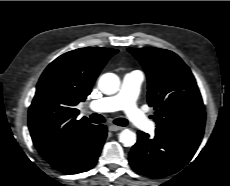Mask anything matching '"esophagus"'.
<instances>
[{
  "label": "esophagus",
  "instance_id": "esophagus-1",
  "mask_svg": "<svg viewBox=\"0 0 230 186\" xmlns=\"http://www.w3.org/2000/svg\"><path fill=\"white\" fill-rule=\"evenodd\" d=\"M108 128H109L110 131H120V130L123 129V127H121V126H116V125H109Z\"/></svg>",
  "mask_w": 230,
  "mask_h": 186
}]
</instances>
